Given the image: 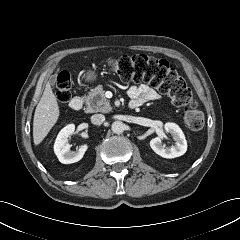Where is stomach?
Instances as JSON below:
<instances>
[{"label":"stomach","instance_id":"obj_1","mask_svg":"<svg viewBox=\"0 0 240 240\" xmlns=\"http://www.w3.org/2000/svg\"><path fill=\"white\" fill-rule=\"evenodd\" d=\"M86 78H87V80H89V81H93V80H95V78H96V74H95V72L94 71H88L87 73H86Z\"/></svg>","mask_w":240,"mask_h":240}]
</instances>
